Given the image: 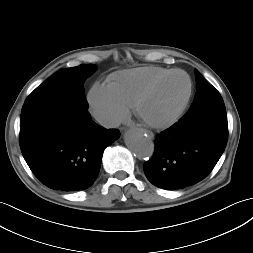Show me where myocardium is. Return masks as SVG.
<instances>
[{
	"instance_id": "1",
	"label": "myocardium",
	"mask_w": 253,
	"mask_h": 253,
	"mask_svg": "<svg viewBox=\"0 0 253 253\" xmlns=\"http://www.w3.org/2000/svg\"><path fill=\"white\" fill-rule=\"evenodd\" d=\"M175 74H182L183 76L186 77L187 82H188V90L187 93L184 97V99L182 100L181 104L179 105V107L177 108V110L175 111V113L168 118L167 120L164 121H151L149 119H147L143 113H142V107L145 103V101L149 98V96L156 90V88L166 79H168L169 77H171L172 75ZM192 90H193V85H192V80L190 78V76L188 75L187 72H185L184 70L181 69H173L167 73H165L164 75L158 77L157 79H155L149 86H147L142 92L141 94L137 97L135 103H134V112L136 114V116L146 125L152 127V128H156V129H164V128H168L170 126H172L173 124H175L183 115L190 99L192 96Z\"/></svg>"
}]
</instances>
